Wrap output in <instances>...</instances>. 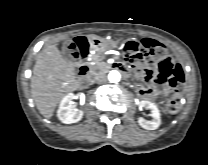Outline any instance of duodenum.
I'll use <instances>...</instances> for the list:
<instances>
[{
  "mask_svg": "<svg viewBox=\"0 0 208 165\" xmlns=\"http://www.w3.org/2000/svg\"><path fill=\"white\" fill-rule=\"evenodd\" d=\"M89 52V50H87V53ZM84 57L79 61L78 64V77L80 82L83 85H87L90 83L91 78H90V73H89V67L86 65V63L84 62ZM111 67H116L117 69L121 70V72L125 75L128 76L129 75V70L124 68L122 65L120 64H112V65H108L107 68H111Z\"/></svg>",
  "mask_w": 208,
  "mask_h": 165,
  "instance_id": "410a0bca",
  "label": "duodenum"
}]
</instances>
